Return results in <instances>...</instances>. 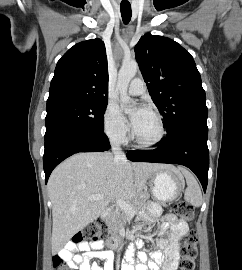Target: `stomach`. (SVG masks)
<instances>
[{"label": "stomach", "mask_w": 242, "mask_h": 270, "mask_svg": "<svg viewBox=\"0 0 242 270\" xmlns=\"http://www.w3.org/2000/svg\"><path fill=\"white\" fill-rule=\"evenodd\" d=\"M150 181L152 183V194L159 201L175 200L184 187L182 175L171 169L154 172Z\"/></svg>", "instance_id": "1"}]
</instances>
